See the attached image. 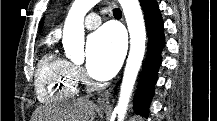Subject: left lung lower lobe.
Here are the masks:
<instances>
[{
  "label": "left lung lower lobe",
  "mask_w": 217,
  "mask_h": 121,
  "mask_svg": "<svg viewBox=\"0 0 217 121\" xmlns=\"http://www.w3.org/2000/svg\"><path fill=\"white\" fill-rule=\"evenodd\" d=\"M140 3L145 15L148 49L134 99V110L136 114L146 117L150 101L154 95V85L161 64V51L165 44V38L163 33V21L156 1L140 0Z\"/></svg>",
  "instance_id": "1"
}]
</instances>
